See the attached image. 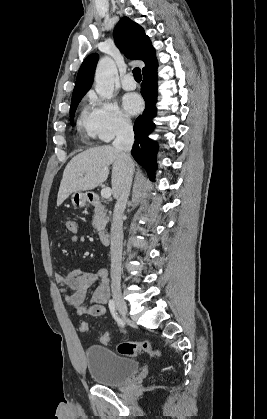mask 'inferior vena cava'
I'll use <instances>...</instances> for the list:
<instances>
[{
  "label": "inferior vena cava",
  "mask_w": 267,
  "mask_h": 419,
  "mask_svg": "<svg viewBox=\"0 0 267 419\" xmlns=\"http://www.w3.org/2000/svg\"><path fill=\"white\" fill-rule=\"evenodd\" d=\"M133 143L134 132L131 121L122 119L116 131V138L113 141V146L120 152V155L124 160V174L118 188V197L111 224L110 255L112 290L120 288L123 245V213L126 208L134 173V163L130 155Z\"/></svg>",
  "instance_id": "1"
}]
</instances>
